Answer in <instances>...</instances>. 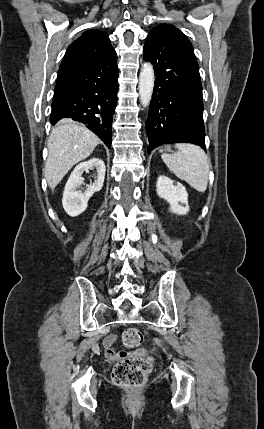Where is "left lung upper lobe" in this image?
<instances>
[{
    "instance_id": "left-lung-upper-lobe-1",
    "label": "left lung upper lobe",
    "mask_w": 264,
    "mask_h": 429,
    "mask_svg": "<svg viewBox=\"0 0 264 429\" xmlns=\"http://www.w3.org/2000/svg\"><path fill=\"white\" fill-rule=\"evenodd\" d=\"M152 30H171V31H174V32H176V33H178L183 39H185L190 45H191V43H190V41L187 39V37L180 31V30H178L177 28H175L174 26H172V25H168V24H161V25H159V26H157V27H155V28H153ZM192 46V45H191Z\"/></svg>"
}]
</instances>
